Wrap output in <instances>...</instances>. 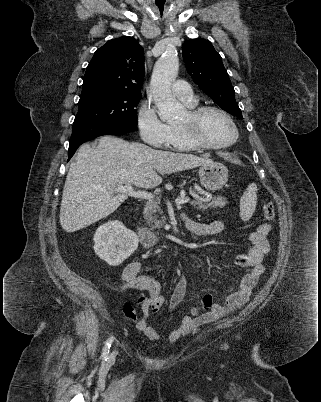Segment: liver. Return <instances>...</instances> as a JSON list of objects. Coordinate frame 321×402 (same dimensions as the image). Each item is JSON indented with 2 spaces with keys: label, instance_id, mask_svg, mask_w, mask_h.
<instances>
[{
  "label": "liver",
  "instance_id": "6515ba94",
  "mask_svg": "<svg viewBox=\"0 0 321 402\" xmlns=\"http://www.w3.org/2000/svg\"><path fill=\"white\" fill-rule=\"evenodd\" d=\"M212 163L187 153L153 149L114 136L100 137L96 148L82 145L71 163L64 185L60 224L72 233L110 215L127 199L116 189L123 184L153 188L159 174H171Z\"/></svg>",
  "mask_w": 321,
  "mask_h": 402
}]
</instances>
